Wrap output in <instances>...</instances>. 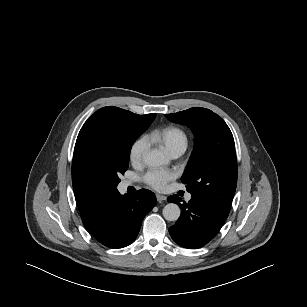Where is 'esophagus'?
Here are the masks:
<instances>
[{
	"instance_id": "34e87169",
	"label": "esophagus",
	"mask_w": 307,
	"mask_h": 307,
	"mask_svg": "<svg viewBox=\"0 0 307 307\" xmlns=\"http://www.w3.org/2000/svg\"><path fill=\"white\" fill-rule=\"evenodd\" d=\"M156 199H157L158 202H163V201L166 200V196L161 195V194H157Z\"/></svg>"
}]
</instances>
